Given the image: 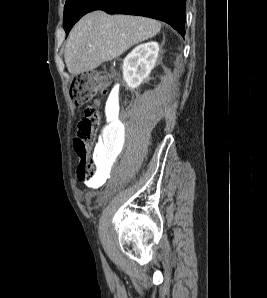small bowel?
Instances as JSON below:
<instances>
[{
  "label": "small bowel",
  "mask_w": 267,
  "mask_h": 298,
  "mask_svg": "<svg viewBox=\"0 0 267 298\" xmlns=\"http://www.w3.org/2000/svg\"><path fill=\"white\" fill-rule=\"evenodd\" d=\"M109 136L107 135L104 140H103V147L107 146V143H108V140H110V137L108 138ZM79 197L81 200H83L84 202L90 204L92 202V200L95 198V193L94 192H86V193H83V192H79Z\"/></svg>",
  "instance_id": "obj_1"
}]
</instances>
